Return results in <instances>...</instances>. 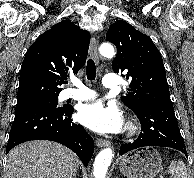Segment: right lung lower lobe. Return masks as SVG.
<instances>
[{"mask_svg":"<svg viewBox=\"0 0 194 178\" xmlns=\"http://www.w3.org/2000/svg\"><path fill=\"white\" fill-rule=\"evenodd\" d=\"M72 107L57 108L46 104L16 106L7 152L30 140H51L73 150L85 166L94 152L92 137L81 126L72 122Z\"/></svg>","mask_w":194,"mask_h":178,"instance_id":"1","label":"right lung lower lobe"}]
</instances>
